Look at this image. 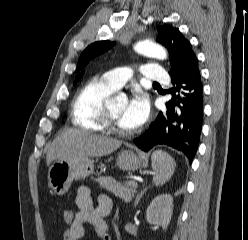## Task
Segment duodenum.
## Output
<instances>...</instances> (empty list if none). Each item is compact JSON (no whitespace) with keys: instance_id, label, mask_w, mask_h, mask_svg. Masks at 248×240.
<instances>
[{"instance_id":"1","label":"duodenum","mask_w":248,"mask_h":240,"mask_svg":"<svg viewBox=\"0 0 248 240\" xmlns=\"http://www.w3.org/2000/svg\"><path fill=\"white\" fill-rule=\"evenodd\" d=\"M104 230L106 231V226H104Z\"/></svg>"}]
</instances>
